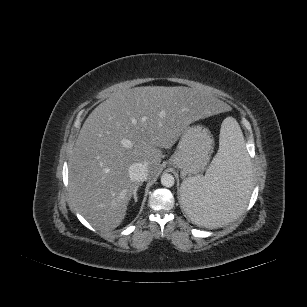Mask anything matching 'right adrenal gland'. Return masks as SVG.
Segmentation results:
<instances>
[{
  "mask_svg": "<svg viewBox=\"0 0 307 307\" xmlns=\"http://www.w3.org/2000/svg\"><path fill=\"white\" fill-rule=\"evenodd\" d=\"M133 199H134L135 202H137V190H135V192L133 194Z\"/></svg>",
  "mask_w": 307,
  "mask_h": 307,
  "instance_id": "1",
  "label": "right adrenal gland"
}]
</instances>
